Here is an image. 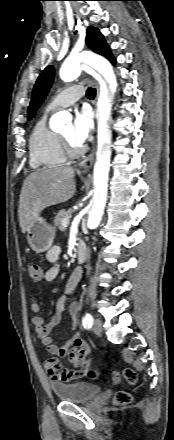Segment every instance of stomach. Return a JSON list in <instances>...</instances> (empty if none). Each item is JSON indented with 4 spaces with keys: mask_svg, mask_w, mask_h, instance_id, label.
<instances>
[{
    "mask_svg": "<svg viewBox=\"0 0 174 440\" xmlns=\"http://www.w3.org/2000/svg\"><path fill=\"white\" fill-rule=\"evenodd\" d=\"M55 229L38 217L27 229V241L36 253L47 251L53 244Z\"/></svg>",
    "mask_w": 174,
    "mask_h": 440,
    "instance_id": "0dacf381",
    "label": "stomach"
}]
</instances>
